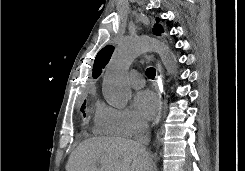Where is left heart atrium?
<instances>
[{
  "mask_svg": "<svg viewBox=\"0 0 245 171\" xmlns=\"http://www.w3.org/2000/svg\"><path fill=\"white\" fill-rule=\"evenodd\" d=\"M134 106L142 117L152 119L158 112L159 102L153 92L144 90L135 95Z\"/></svg>",
  "mask_w": 245,
  "mask_h": 171,
  "instance_id": "39dd6f15",
  "label": "left heart atrium"
}]
</instances>
